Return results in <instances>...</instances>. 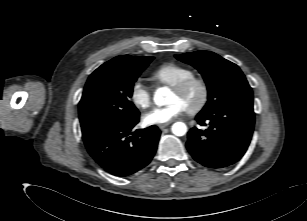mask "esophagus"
<instances>
[{
  "mask_svg": "<svg viewBox=\"0 0 307 221\" xmlns=\"http://www.w3.org/2000/svg\"><path fill=\"white\" fill-rule=\"evenodd\" d=\"M169 124H170V122L166 123V124L158 125V127L162 130V129L166 128L167 126H169Z\"/></svg>",
  "mask_w": 307,
  "mask_h": 221,
  "instance_id": "1",
  "label": "esophagus"
}]
</instances>
